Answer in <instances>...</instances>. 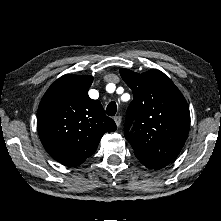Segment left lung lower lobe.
I'll use <instances>...</instances> for the list:
<instances>
[{"mask_svg": "<svg viewBox=\"0 0 221 221\" xmlns=\"http://www.w3.org/2000/svg\"><path fill=\"white\" fill-rule=\"evenodd\" d=\"M135 156L139 159V161L145 165L146 167L150 168V169H154V170H158L161 169L163 167H165L166 165H168L169 163L163 162V161H158V160H154L151 159L143 154L140 153H135Z\"/></svg>", "mask_w": 221, "mask_h": 221, "instance_id": "left-lung-lower-lobe-1", "label": "left lung lower lobe"}]
</instances>
